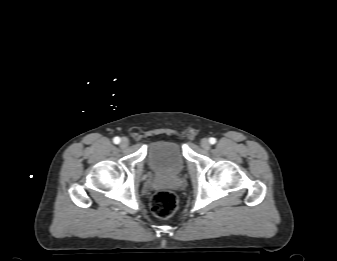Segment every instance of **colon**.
I'll use <instances>...</instances> for the list:
<instances>
[{"instance_id":"colon-1","label":"colon","mask_w":337,"mask_h":261,"mask_svg":"<svg viewBox=\"0 0 337 261\" xmlns=\"http://www.w3.org/2000/svg\"><path fill=\"white\" fill-rule=\"evenodd\" d=\"M179 200L172 191H158L151 199V210L159 218H169L177 210Z\"/></svg>"}]
</instances>
